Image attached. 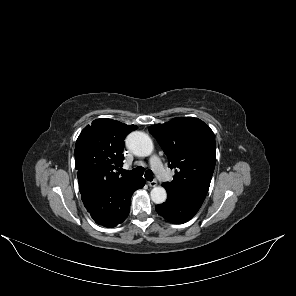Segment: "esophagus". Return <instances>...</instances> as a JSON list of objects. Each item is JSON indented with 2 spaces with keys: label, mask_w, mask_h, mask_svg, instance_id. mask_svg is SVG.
I'll return each instance as SVG.
<instances>
[{
  "label": "esophagus",
  "mask_w": 296,
  "mask_h": 296,
  "mask_svg": "<svg viewBox=\"0 0 296 296\" xmlns=\"http://www.w3.org/2000/svg\"><path fill=\"white\" fill-rule=\"evenodd\" d=\"M147 184H148L150 187H155V186H157V181H156V180L148 181Z\"/></svg>",
  "instance_id": "34e87169"
}]
</instances>
